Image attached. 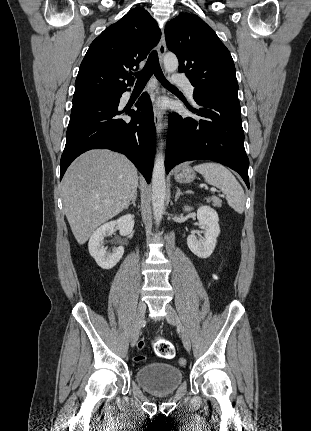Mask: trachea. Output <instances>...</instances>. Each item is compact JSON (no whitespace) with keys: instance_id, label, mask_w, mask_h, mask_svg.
I'll return each mask as SVG.
<instances>
[{"instance_id":"trachea-1","label":"trachea","mask_w":311,"mask_h":431,"mask_svg":"<svg viewBox=\"0 0 311 431\" xmlns=\"http://www.w3.org/2000/svg\"><path fill=\"white\" fill-rule=\"evenodd\" d=\"M152 75H155L159 82L166 88H174L163 75L156 50L150 53L144 68L140 72H136V84H146Z\"/></svg>"}]
</instances>
